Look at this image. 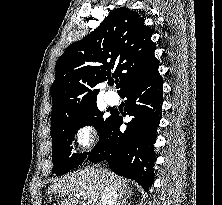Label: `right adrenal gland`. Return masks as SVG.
<instances>
[{
    "label": "right adrenal gland",
    "instance_id": "2a0ac1e0",
    "mask_svg": "<svg viewBox=\"0 0 222 205\" xmlns=\"http://www.w3.org/2000/svg\"><path fill=\"white\" fill-rule=\"evenodd\" d=\"M123 196L122 195H120L119 197H118V200H117V203L115 204V205H124V203H126V198H123Z\"/></svg>",
    "mask_w": 222,
    "mask_h": 205
}]
</instances>
